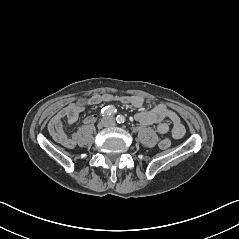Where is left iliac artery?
<instances>
[{"label": "left iliac artery", "mask_w": 239, "mask_h": 239, "mask_svg": "<svg viewBox=\"0 0 239 239\" xmlns=\"http://www.w3.org/2000/svg\"><path fill=\"white\" fill-rule=\"evenodd\" d=\"M116 120H117V123L123 124L125 122V117L123 115H118Z\"/></svg>", "instance_id": "obj_1"}]
</instances>
